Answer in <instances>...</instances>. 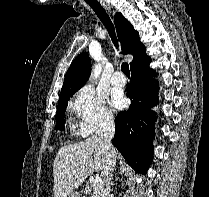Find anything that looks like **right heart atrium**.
<instances>
[{"instance_id": "obj_1", "label": "right heart atrium", "mask_w": 209, "mask_h": 197, "mask_svg": "<svg viewBox=\"0 0 209 197\" xmlns=\"http://www.w3.org/2000/svg\"><path fill=\"white\" fill-rule=\"evenodd\" d=\"M70 109L79 120L77 130L83 137L111 125L114 120L107 97L91 86H85L76 93Z\"/></svg>"}]
</instances>
